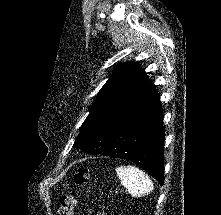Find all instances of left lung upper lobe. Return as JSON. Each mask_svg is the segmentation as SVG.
Here are the masks:
<instances>
[{
  "label": "left lung upper lobe",
  "instance_id": "left-lung-upper-lobe-1",
  "mask_svg": "<svg viewBox=\"0 0 221 215\" xmlns=\"http://www.w3.org/2000/svg\"><path fill=\"white\" fill-rule=\"evenodd\" d=\"M150 86L145 71L136 62L116 66L99 91L73 146L96 154L102 153L118 122Z\"/></svg>",
  "mask_w": 221,
  "mask_h": 215
}]
</instances>
